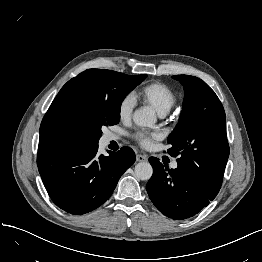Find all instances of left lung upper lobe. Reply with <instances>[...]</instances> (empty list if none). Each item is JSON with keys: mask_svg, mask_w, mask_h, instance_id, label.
<instances>
[{"mask_svg": "<svg viewBox=\"0 0 262 262\" xmlns=\"http://www.w3.org/2000/svg\"><path fill=\"white\" fill-rule=\"evenodd\" d=\"M184 87L179 123L167 141L168 154L178 156V168L205 192L216 196L229 157L226 115L215 92L201 79L174 75Z\"/></svg>", "mask_w": 262, "mask_h": 262, "instance_id": "obj_1", "label": "left lung upper lobe"}]
</instances>
